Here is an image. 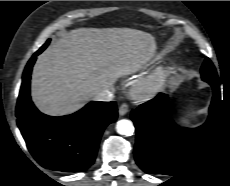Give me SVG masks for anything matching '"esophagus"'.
<instances>
[{
    "mask_svg": "<svg viewBox=\"0 0 230 186\" xmlns=\"http://www.w3.org/2000/svg\"><path fill=\"white\" fill-rule=\"evenodd\" d=\"M129 111V107L127 104L123 103L120 105L119 107V115L120 116H124L125 114H127Z\"/></svg>",
    "mask_w": 230,
    "mask_h": 186,
    "instance_id": "34e87169",
    "label": "esophagus"
}]
</instances>
